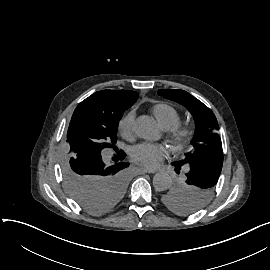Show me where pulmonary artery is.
Wrapping results in <instances>:
<instances>
[{"instance_id": "obj_1", "label": "pulmonary artery", "mask_w": 270, "mask_h": 270, "mask_svg": "<svg viewBox=\"0 0 270 270\" xmlns=\"http://www.w3.org/2000/svg\"><path fill=\"white\" fill-rule=\"evenodd\" d=\"M161 128H162L163 132H165V133H170L174 129L173 125L170 124V123H164V124H162L161 125ZM189 169H190V166L189 165H185L183 167V171L184 172H188Z\"/></svg>"}]
</instances>
